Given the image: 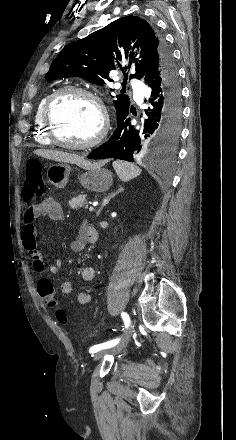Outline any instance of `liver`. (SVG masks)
<instances>
[{"label":"liver","mask_w":236,"mask_h":440,"mask_svg":"<svg viewBox=\"0 0 236 440\" xmlns=\"http://www.w3.org/2000/svg\"><path fill=\"white\" fill-rule=\"evenodd\" d=\"M35 154L38 156H42L46 159L54 160L57 162H64V163H72L76 164L80 167H83L85 169L101 166V163H91L90 161H87L83 157H80L79 155L67 153L63 151H55V150H49V149H38L34 151Z\"/></svg>","instance_id":"6515ba94"}]
</instances>
